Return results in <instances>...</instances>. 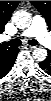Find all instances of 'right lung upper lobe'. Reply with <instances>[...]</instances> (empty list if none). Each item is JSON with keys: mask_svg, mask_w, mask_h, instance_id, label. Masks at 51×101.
Returning a JSON list of instances; mask_svg holds the SVG:
<instances>
[{"mask_svg": "<svg viewBox=\"0 0 51 101\" xmlns=\"http://www.w3.org/2000/svg\"><path fill=\"white\" fill-rule=\"evenodd\" d=\"M19 1H0V33L4 30L6 23L10 20L13 11L16 9ZM0 56V68L4 69L18 53L17 48L8 46L2 47Z\"/></svg>", "mask_w": 51, "mask_h": 101, "instance_id": "cb5924a9", "label": "right lung upper lobe"}]
</instances>
